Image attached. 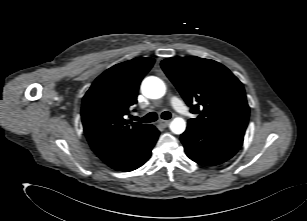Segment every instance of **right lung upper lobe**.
<instances>
[{"mask_svg":"<svg viewBox=\"0 0 307 221\" xmlns=\"http://www.w3.org/2000/svg\"><path fill=\"white\" fill-rule=\"evenodd\" d=\"M152 58H134L102 73L82 101V123L94 153L109 164L135 144L152 125L132 123L126 115L137 102L139 85L154 64Z\"/></svg>","mask_w":307,"mask_h":221,"instance_id":"1","label":"right lung upper lobe"}]
</instances>
